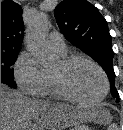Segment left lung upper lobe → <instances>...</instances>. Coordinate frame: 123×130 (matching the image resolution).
<instances>
[{
  "label": "left lung upper lobe",
  "mask_w": 123,
  "mask_h": 130,
  "mask_svg": "<svg viewBox=\"0 0 123 130\" xmlns=\"http://www.w3.org/2000/svg\"><path fill=\"white\" fill-rule=\"evenodd\" d=\"M64 36L98 62L107 73L112 96L118 99L113 70L112 41L107 21L87 0H63L54 11Z\"/></svg>",
  "instance_id": "left-lung-upper-lobe-1"
}]
</instances>
